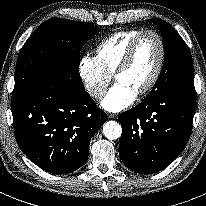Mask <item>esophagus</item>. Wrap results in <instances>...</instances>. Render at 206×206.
<instances>
[{
  "label": "esophagus",
  "instance_id": "esophagus-1",
  "mask_svg": "<svg viewBox=\"0 0 206 206\" xmlns=\"http://www.w3.org/2000/svg\"><path fill=\"white\" fill-rule=\"evenodd\" d=\"M108 117H109L110 119H117V118H118V115H117V114H114V113H109V114H108Z\"/></svg>",
  "mask_w": 206,
  "mask_h": 206
}]
</instances>
